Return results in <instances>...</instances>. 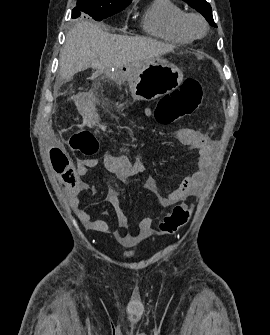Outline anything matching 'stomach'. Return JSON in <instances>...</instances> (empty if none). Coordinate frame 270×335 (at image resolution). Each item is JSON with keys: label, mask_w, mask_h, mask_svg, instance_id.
Here are the masks:
<instances>
[{"label": "stomach", "mask_w": 270, "mask_h": 335, "mask_svg": "<svg viewBox=\"0 0 270 335\" xmlns=\"http://www.w3.org/2000/svg\"><path fill=\"white\" fill-rule=\"evenodd\" d=\"M119 78H126L133 100H156L179 88L183 74L164 60H151L145 67L119 68Z\"/></svg>", "instance_id": "obj_1"}]
</instances>
